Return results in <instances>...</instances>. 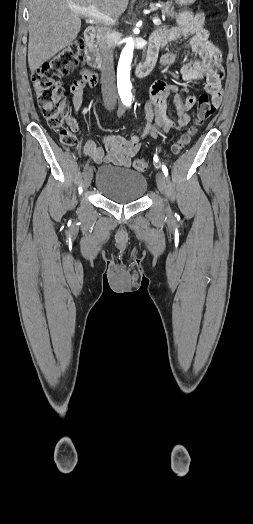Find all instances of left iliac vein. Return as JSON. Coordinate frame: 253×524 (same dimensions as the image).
Returning <instances> with one entry per match:
<instances>
[{
  "label": "left iliac vein",
  "instance_id": "1",
  "mask_svg": "<svg viewBox=\"0 0 253 524\" xmlns=\"http://www.w3.org/2000/svg\"><path fill=\"white\" fill-rule=\"evenodd\" d=\"M156 182H157V187H158L159 191L164 196H166L167 191H168L167 181H166L165 175L162 172H160V171L157 172V174H156ZM165 202H166V212L170 213V208L167 205V200L166 199H165Z\"/></svg>",
  "mask_w": 253,
  "mask_h": 524
}]
</instances>
